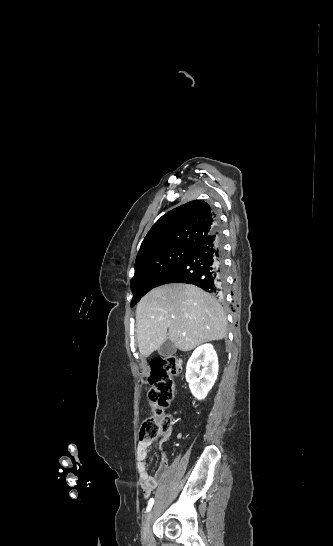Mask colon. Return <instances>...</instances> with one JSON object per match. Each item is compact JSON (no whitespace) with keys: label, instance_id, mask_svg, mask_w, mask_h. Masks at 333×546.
Returning <instances> with one entry per match:
<instances>
[{"label":"colon","instance_id":"obj_1","mask_svg":"<svg viewBox=\"0 0 333 546\" xmlns=\"http://www.w3.org/2000/svg\"><path fill=\"white\" fill-rule=\"evenodd\" d=\"M181 368V360L174 356L158 358L152 363L148 393L150 412L141 427V440L150 442L169 434L172 418L166 409L174 398V376Z\"/></svg>","mask_w":333,"mask_h":546}]
</instances>
